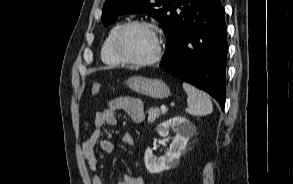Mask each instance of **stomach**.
I'll use <instances>...</instances> for the list:
<instances>
[{"label": "stomach", "mask_w": 293, "mask_h": 184, "mask_svg": "<svg viewBox=\"0 0 293 184\" xmlns=\"http://www.w3.org/2000/svg\"><path fill=\"white\" fill-rule=\"evenodd\" d=\"M126 84L133 91L155 99H163L170 95L169 87L159 79L132 76L127 79Z\"/></svg>", "instance_id": "1"}]
</instances>
